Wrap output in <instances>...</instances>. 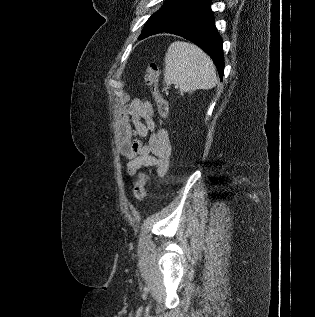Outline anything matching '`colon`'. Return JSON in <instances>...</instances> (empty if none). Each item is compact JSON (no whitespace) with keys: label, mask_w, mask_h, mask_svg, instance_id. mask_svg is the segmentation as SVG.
Returning <instances> with one entry per match:
<instances>
[{"label":"colon","mask_w":315,"mask_h":317,"mask_svg":"<svg viewBox=\"0 0 315 317\" xmlns=\"http://www.w3.org/2000/svg\"><path fill=\"white\" fill-rule=\"evenodd\" d=\"M145 79L147 84L151 86L158 112L160 116L165 119L168 115V104L160 89V69L157 64L151 63L147 66L145 70ZM148 182L149 175L146 172L139 173L133 188V195L138 202H142L145 199Z\"/></svg>","instance_id":"5ec220e1"}]
</instances>
